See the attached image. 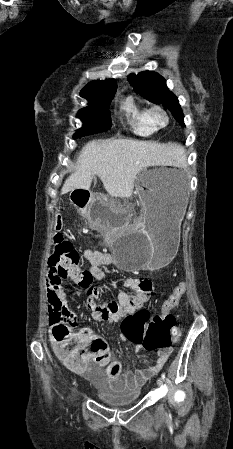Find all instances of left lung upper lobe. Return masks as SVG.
<instances>
[{
	"label": "left lung upper lobe",
	"mask_w": 233,
	"mask_h": 449,
	"mask_svg": "<svg viewBox=\"0 0 233 449\" xmlns=\"http://www.w3.org/2000/svg\"><path fill=\"white\" fill-rule=\"evenodd\" d=\"M128 80L136 93L155 104H162L168 108L174 118L184 124V115L178 103V98L167 88L166 80L156 72L143 71L139 74H130Z\"/></svg>",
	"instance_id": "5c2ea615"
}]
</instances>
